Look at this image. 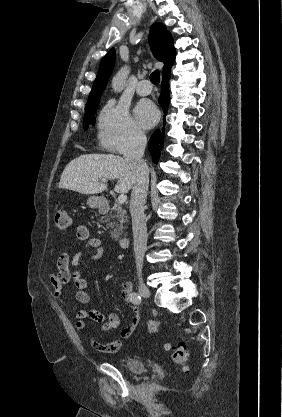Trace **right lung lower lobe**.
<instances>
[{"mask_svg":"<svg viewBox=\"0 0 282 417\" xmlns=\"http://www.w3.org/2000/svg\"><path fill=\"white\" fill-rule=\"evenodd\" d=\"M169 79H170V70L163 73V80L161 83V95H160V104L163 108L164 114L166 115V111L168 108L170 94H169ZM165 124V121H164ZM163 132L160 130H156L148 144V149L151 153L153 162L157 164L160 159L161 149L163 148V140H164V129Z\"/></svg>","mask_w":282,"mask_h":417,"instance_id":"obj_1","label":"right lung lower lobe"}]
</instances>
